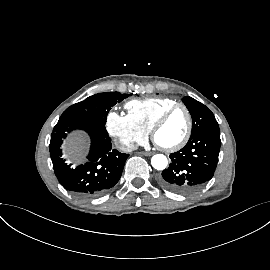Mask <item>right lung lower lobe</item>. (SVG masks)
I'll return each mask as SVG.
<instances>
[{"label":"right lung lower lobe","mask_w":270,"mask_h":270,"mask_svg":"<svg viewBox=\"0 0 270 270\" xmlns=\"http://www.w3.org/2000/svg\"><path fill=\"white\" fill-rule=\"evenodd\" d=\"M74 130H83L91 139L88 162L70 168L60 149L62 139ZM55 175L68 191L81 197L99 196L112 188L120 179L128 154L113 149L105 125L93 120L75 119L56 124L49 145Z\"/></svg>","instance_id":"98d812e1"}]
</instances>
